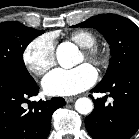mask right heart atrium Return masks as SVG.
I'll use <instances>...</instances> for the list:
<instances>
[{"mask_svg": "<svg viewBox=\"0 0 139 139\" xmlns=\"http://www.w3.org/2000/svg\"><path fill=\"white\" fill-rule=\"evenodd\" d=\"M23 62L35 75L45 74L55 64V45L52 36L45 34L33 39L24 49Z\"/></svg>", "mask_w": 139, "mask_h": 139, "instance_id": "1", "label": "right heart atrium"}]
</instances>
